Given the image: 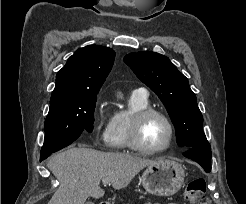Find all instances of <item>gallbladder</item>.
<instances>
[{"label": "gallbladder", "instance_id": "gallbladder-1", "mask_svg": "<svg viewBox=\"0 0 246 204\" xmlns=\"http://www.w3.org/2000/svg\"><path fill=\"white\" fill-rule=\"evenodd\" d=\"M86 204H94L93 202L88 201Z\"/></svg>", "mask_w": 246, "mask_h": 204}]
</instances>
